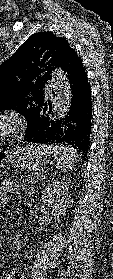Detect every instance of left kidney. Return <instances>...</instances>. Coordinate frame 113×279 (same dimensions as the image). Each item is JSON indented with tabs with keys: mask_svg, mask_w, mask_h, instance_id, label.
Returning <instances> with one entry per match:
<instances>
[{
	"mask_svg": "<svg viewBox=\"0 0 113 279\" xmlns=\"http://www.w3.org/2000/svg\"><path fill=\"white\" fill-rule=\"evenodd\" d=\"M68 190L67 182L54 181L42 192V201L53 208L56 220H59L66 212L68 207Z\"/></svg>",
	"mask_w": 113,
	"mask_h": 279,
	"instance_id": "left-kidney-1",
	"label": "left kidney"
}]
</instances>
